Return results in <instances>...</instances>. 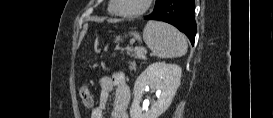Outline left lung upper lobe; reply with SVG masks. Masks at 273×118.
<instances>
[{
	"label": "left lung upper lobe",
	"mask_w": 273,
	"mask_h": 118,
	"mask_svg": "<svg viewBox=\"0 0 273 118\" xmlns=\"http://www.w3.org/2000/svg\"><path fill=\"white\" fill-rule=\"evenodd\" d=\"M161 1H162V0H156L155 8L158 7V5L160 4ZM155 8H154V9H155Z\"/></svg>",
	"instance_id": "5c2ea615"
}]
</instances>
